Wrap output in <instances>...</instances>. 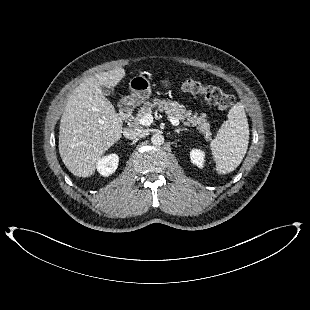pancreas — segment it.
Here are the masks:
<instances>
[{
    "label": "pancreas",
    "mask_w": 310,
    "mask_h": 310,
    "mask_svg": "<svg viewBox=\"0 0 310 310\" xmlns=\"http://www.w3.org/2000/svg\"><path fill=\"white\" fill-rule=\"evenodd\" d=\"M154 107H157L160 112L165 111L170 116L179 119L186 126H196L197 129L204 134L206 140L211 138L210 124L206 120V114H192L191 110H187L176 101H166L155 98L152 102H145L134 117V125L138 127L140 125L139 120L146 113H152Z\"/></svg>",
    "instance_id": "cf45deb5"
}]
</instances>
